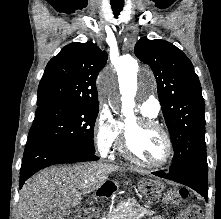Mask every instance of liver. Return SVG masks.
Masks as SVG:
<instances>
[{
  "mask_svg": "<svg viewBox=\"0 0 221 219\" xmlns=\"http://www.w3.org/2000/svg\"><path fill=\"white\" fill-rule=\"evenodd\" d=\"M121 168L94 162L46 168L31 177L20 191V219H42L47 211L76 207L82 197L100 186Z\"/></svg>",
  "mask_w": 221,
  "mask_h": 219,
  "instance_id": "6515ba94",
  "label": "liver"
}]
</instances>
